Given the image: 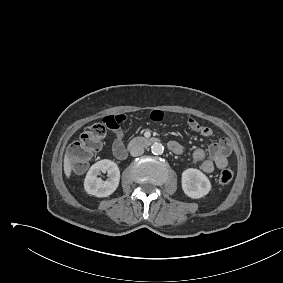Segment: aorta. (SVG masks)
Returning a JSON list of instances; mask_svg holds the SVG:
<instances>
[{
  "mask_svg": "<svg viewBox=\"0 0 283 283\" xmlns=\"http://www.w3.org/2000/svg\"><path fill=\"white\" fill-rule=\"evenodd\" d=\"M151 152L154 155H161L164 152V147H163V145L161 143H154L151 146Z\"/></svg>",
  "mask_w": 283,
  "mask_h": 283,
  "instance_id": "obj_1",
  "label": "aorta"
}]
</instances>
